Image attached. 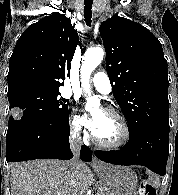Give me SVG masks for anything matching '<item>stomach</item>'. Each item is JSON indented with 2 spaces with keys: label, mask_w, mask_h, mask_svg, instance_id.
I'll return each instance as SVG.
<instances>
[{
  "label": "stomach",
  "mask_w": 178,
  "mask_h": 195,
  "mask_svg": "<svg viewBox=\"0 0 178 195\" xmlns=\"http://www.w3.org/2000/svg\"><path fill=\"white\" fill-rule=\"evenodd\" d=\"M103 195H136L138 177L129 167L105 165L97 169Z\"/></svg>",
  "instance_id": "0dacf381"
}]
</instances>
